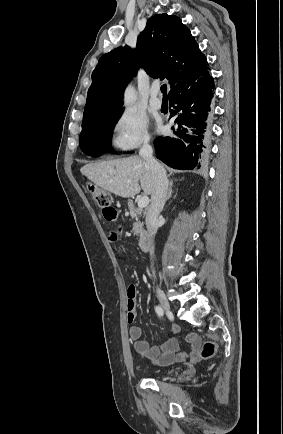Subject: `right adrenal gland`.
I'll return each instance as SVG.
<instances>
[{
	"instance_id": "1",
	"label": "right adrenal gland",
	"mask_w": 283,
	"mask_h": 434,
	"mask_svg": "<svg viewBox=\"0 0 283 434\" xmlns=\"http://www.w3.org/2000/svg\"><path fill=\"white\" fill-rule=\"evenodd\" d=\"M172 186H173V180H170L169 189H168V194H167L166 200H169L171 198V196H172Z\"/></svg>"
}]
</instances>
